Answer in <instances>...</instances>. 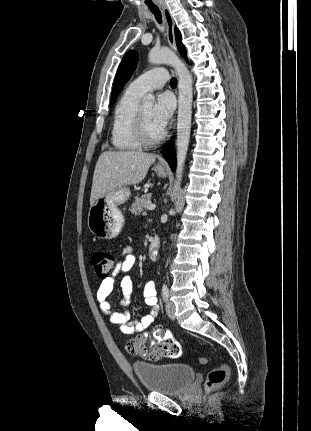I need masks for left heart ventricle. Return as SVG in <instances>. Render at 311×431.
I'll use <instances>...</instances> for the list:
<instances>
[{
	"label": "left heart ventricle",
	"mask_w": 311,
	"mask_h": 431,
	"mask_svg": "<svg viewBox=\"0 0 311 431\" xmlns=\"http://www.w3.org/2000/svg\"><path fill=\"white\" fill-rule=\"evenodd\" d=\"M141 109H142V112H143V115L145 118L149 137H151V138L159 137L161 135L162 131L155 125V123L153 121V108L152 107H144Z\"/></svg>",
	"instance_id": "b2bd125f"
}]
</instances>
